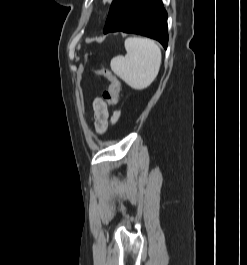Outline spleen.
<instances>
[{
  "label": "spleen",
  "instance_id": "3e777b00",
  "mask_svg": "<svg viewBox=\"0 0 247 265\" xmlns=\"http://www.w3.org/2000/svg\"><path fill=\"white\" fill-rule=\"evenodd\" d=\"M125 57L118 55L111 60L112 71L135 90L151 85L161 65V50L150 39L129 37L125 40Z\"/></svg>",
  "mask_w": 247,
  "mask_h": 265
}]
</instances>
